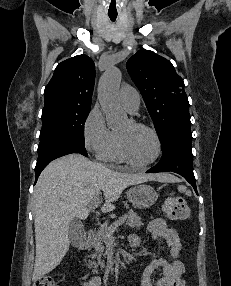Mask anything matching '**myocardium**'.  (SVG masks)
Listing matches in <instances>:
<instances>
[{
    "mask_svg": "<svg viewBox=\"0 0 231 286\" xmlns=\"http://www.w3.org/2000/svg\"><path fill=\"white\" fill-rule=\"evenodd\" d=\"M129 122L131 125H133L135 127H139V128H143V129L147 130L153 136L154 141H155V145H156L155 154L149 161L142 163V164H139V163L132 161L126 155V153L123 149L121 140H120L119 136L115 133V147H116L117 155L119 156V158L122 162L126 163L127 165H129L135 169H146L149 166H151L152 164H154L159 159L161 152H162L161 139H160L157 131L154 128H152L151 126H149V125H147L141 121L135 120V119H130Z\"/></svg>",
    "mask_w": 231,
    "mask_h": 286,
    "instance_id": "f54148a6",
    "label": "myocardium"
}]
</instances>
